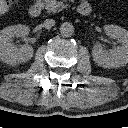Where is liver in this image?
<instances>
[{
    "mask_svg": "<svg viewBox=\"0 0 128 128\" xmlns=\"http://www.w3.org/2000/svg\"><path fill=\"white\" fill-rule=\"evenodd\" d=\"M10 5L6 0H0V16L9 11Z\"/></svg>",
    "mask_w": 128,
    "mask_h": 128,
    "instance_id": "obj_1",
    "label": "liver"
}]
</instances>
